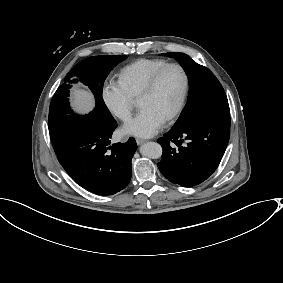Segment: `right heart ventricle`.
Here are the masks:
<instances>
[{
  "mask_svg": "<svg viewBox=\"0 0 283 283\" xmlns=\"http://www.w3.org/2000/svg\"><path fill=\"white\" fill-rule=\"evenodd\" d=\"M170 63L164 58H140L125 66L118 73L119 81L132 99H137L150 76Z\"/></svg>",
  "mask_w": 283,
  "mask_h": 283,
  "instance_id": "e07e8e85",
  "label": "right heart ventricle"
}]
</instances>
